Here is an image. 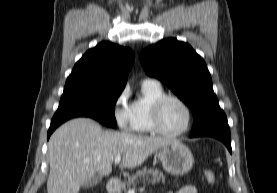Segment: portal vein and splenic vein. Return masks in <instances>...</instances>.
<instances>
[{"label": "portal vein and splenic vein", "mask_w": 277, "mask_h": 193, "mask_svg": "<svg viewBox=\"0 0 277 193\" xmlns=\"http://www.w3.org/2000/svg\"><path fill=\"white\" fill-rule=\"evenodd\" d=\"M114 161H115V164H118L121 161V156L120 155L116 156ZM128 193H135V190L132 189Z\"/></svg>", "instance_id": "obj_1"}]
</instances>
